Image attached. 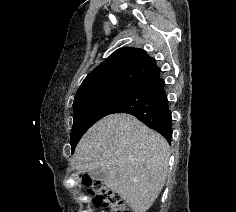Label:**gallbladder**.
<instances>
[{
  "label": "gallbladder",
  "instance_id": "bac80fb5",
  "mask_svg": "<svg viewBox=\"0 0 236 212\" xmlns=\"http://www.w3.org/2000/svg\"><path fill=\"white\" fill-rule=\"evenodd\" d=\"M89 175L93 180L104 181L107 176V173L102 168H98L89 172Z\"/></svg>",
  "mask_w": 236,
  "mask_h": 212
}]
</instances>
